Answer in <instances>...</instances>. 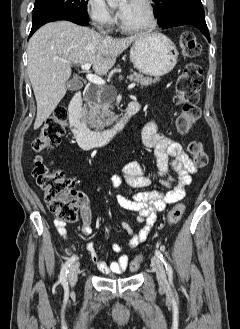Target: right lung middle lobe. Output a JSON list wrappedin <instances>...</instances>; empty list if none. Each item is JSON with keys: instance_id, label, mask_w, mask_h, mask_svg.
<instances>
[{"instance_id": "obj_1", "label": "right lung middle lobe", "mask_w": 240, "mask_h": 329, "mask_svg": "<svg viewBox=\"0 0 240 329\" xmlns=\"http://www.w3.org/2000/svg\"><path fill=\"white\" fill-rule=\"evenodd\" d=\"M88 0H36L32 17L39 14H58L89 20Z\"/></svg>"}]
</instances>
